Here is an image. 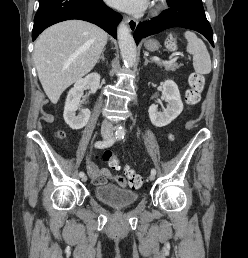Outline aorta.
I'll use <instances>...</instances> for the list:
<instances>
[{"instance_id": "obj_1", "label": "aorta", "mask_w": 248, "mask_h": 258, "mask_svg": "<svg viewBox=\"0 0 248 258\" xmlns=\"http://www.w3.org/2000/svg\"><path fill=\"white\" fill-rule=\"evenodd\" d=\"M117 37L119 48L122 56V60L126 67H131L134 65L136 61V44L133 39V36L130 33V29L128 26L121 22L117 29ZM118 133H124L123 128L118 129Z\"/></svg>"}]
</instances>
